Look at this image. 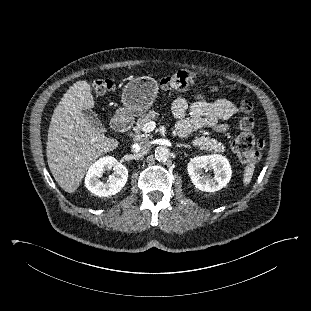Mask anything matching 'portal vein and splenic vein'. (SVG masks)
I'll list each match as a JSON object with an SVG mask.
<instances>
[{"instance_id":"portal-vein-and-splenic-vein-1","label":"portal vein and splenic vein","mask_w":311,"mask_h":311,"mask_svg":"<svg viewBox=\"0 0 311 311\" xmlns=\"http://www.w3.org/2000/svg\"><path fill=\"white\" fill-rule=\"evenodd\" d=\"M155 127H156V123L154 121H149L144 125L143 131L145 133L151 132L154 130Z\"/></svg>"}]
</instances>
